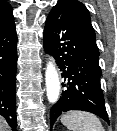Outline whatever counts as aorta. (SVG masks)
Returning <instances> with one entry per match:
<instances>
[{"label":"aorta","mask_w":117,"mask_h":131,"mask_svg":"<svg viewBox=\"0 0 117 131\" xmlns=\"http://www.w3.org/2000/svg\"><path fill=\"white\" fill-rule=\"evenodd\" d=\"M46 95L50 103L58 101L60 95V80L55 64L49 60L45 71Z\"/></svg>","instance_id":"aorta-1"}]
</instances>
